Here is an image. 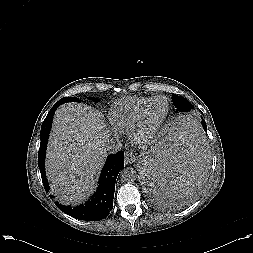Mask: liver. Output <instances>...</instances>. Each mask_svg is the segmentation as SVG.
Masks as SVG:
<instances>
[{
    "label": "liver",
    "instance_id": "obj_1",
    "mask_svg": "<svg viewBox=\"0 0 253 253\" xmlns=\"http://www.w3.org/2000/svg\"><path fill=\"white\" fill-rule=\"evenodd\" d=\"M108 138V130L93 108L68 103L56 110L46 153V173L51 190L61 202L76 205L94 192L107 156Z\"/></svg>",
    "mask_w": 253,
    "mask_h": 253
}]
</instances>
